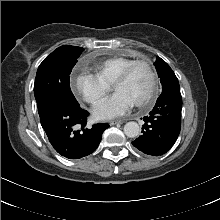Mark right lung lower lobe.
<instances>
[{"mask_svg": "<svg viewBox=\"0 0 220 220\" xmlns=\"http://www.w3.org/2000/svg\"><path fill=\"white\" fill-rule=\"evenodd\" d=\"M88 112L80 105L57 102L43 111L40 121L53 148L69 159H79L93 153L109 127L98 123L85 128Z\"/></svg>", "mask_w": 220, "mask_h": 220, "instance_id": "obj_1", "label": "right lung lower lobe"}]
</instances>
